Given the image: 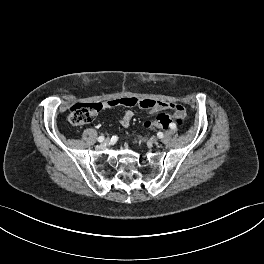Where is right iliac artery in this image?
Listing matches in <instances>:
<instances>
[{"mask_svg":"<svg viewBox=\"0 0 264 264\" xmlns=\"http://www.w3.org/2000/svg\"><path fill=\"white\" fill-rule=\"evenodd\" d=\"M103 140H104V136H99V137H98V141H99V142H103Z\"/></svg>","mask_w":264,"mask_h":264,"instance_id":"82829eb1","label":"right iliac artery"}]
</instances>
